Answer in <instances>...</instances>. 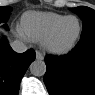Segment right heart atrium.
<instances>
[{
	"mask_svg": "<svg viewBox=\"0 0 95 95\" xmlns=\"http://www.w3.org/2000/svg\"><path fill=\"white\" fill-rule=\"evenodd\" d=\"M16 33L19 37H21L22 39H27V36L24 34V32L21 30L20 27L16 28Z\"/></svg>",
	"mask_w": 95,
	"mask_h": 95,
	"instance_id": "obj_1",
	"label": "right heart atrium"
}]
</instances>
